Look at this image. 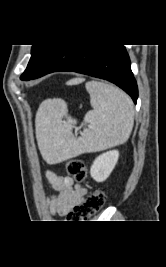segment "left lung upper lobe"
<instances>
[{"instance_id":"1","label":"left lung upper lobe","mask_w":166,"mask_h":267,"mask_svg":"<svg viewBox=\"0 0 166 267\" xmlns=\"http://www.w3.org/2000/svg\"><path fill=\"white\" fill-rule=\"evenodd\" d=\"M56 44L49 45H33L31 49V58L24 73L21 75V80H31L37 73L45 59L57 47Z\"/></svg>"}]
</instances>
